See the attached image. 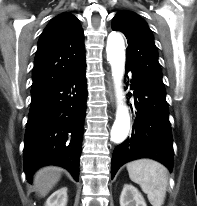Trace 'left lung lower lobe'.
<instances>
[{
  "instance_id": "1",
  "label": "left lung lower lobe",
  "mask_w": 197,
  "mask_h": 206,
  "mask_svg": "<svg viewBox=\"0 0 197 206\" xmlns=\"http://www.w3.org/2000/svg\"><path fill=\"white\" fill-rule=\"evenodd\" d=\"M129 71L132 72L130 89L134 90L132 96L136 108L134 125L131 136L114 149L111 178L124 163L142 157L155 159L172 171L173 139L166 93L126 68V73Z\"/></svg>"
}]
</instances>
